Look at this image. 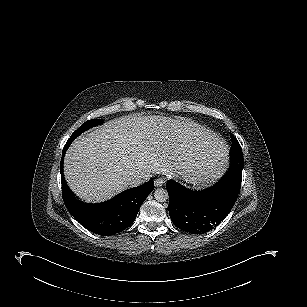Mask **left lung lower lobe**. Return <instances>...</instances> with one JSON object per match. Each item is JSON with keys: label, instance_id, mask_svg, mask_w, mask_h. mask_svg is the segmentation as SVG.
<instances>
[{"label": "left lung lower lobe", "instance_id": "left-lung-lower-lobe-1", "mask_svg": "<svg viewBox=\"0 0 307 307\" xmlns=\"http://www.w3.org/2000/svg\"><path fill=\"white\" fill-rule=\"evenodd\" d=\"M242 165L231 163L221 180L206 190H189L168 180L169 215L174 225L191 234H204L219 225L236 202Z\"/></svg>", "mask_w": 307, "mask_h": 307}]
</instances>
